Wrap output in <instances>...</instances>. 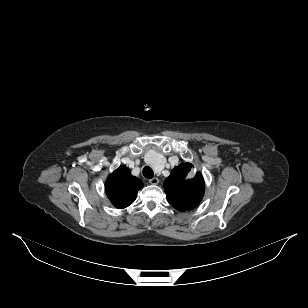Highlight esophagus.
<instances>
[{"instance_id": "1", "label": "esophagus", "mask_w": 308, "mask_h": 308, "mask_svg": "<svg viewBox=\"0 0 308 308\" xmlns=\"http://www.w3.org/2000/svg\"><path fill=\"white\" fill-rule=\"evenodd\" d=\"M149 183L152 185H156L159 183V179L157 177H153L149 180Z\"/></svg>"}]
</instances>
